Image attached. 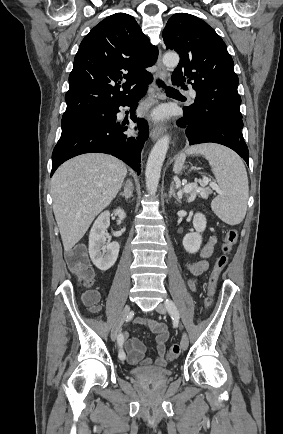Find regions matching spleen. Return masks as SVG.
<instances>
[{
	"label": "spleen",
	"mask_w": 283,
	"mask_h": 434,
	"mask_svg": "<svg viewBox=\"0 0 283 434\" xmlns=\"http://www.w3.org/2000/svg\"><path fill=\"white\" fill-rule=\"evenodd\" d=\"M186 154L203 155L212 167L221 189L220 194L211 203L214 213L229 225L242 222L246 215L249 196L248 177L242 159L221 145H196L177 157L173 167L175 173L181 171Z\"/></svg>",
	"instance_id": "obj_1"
}]
</instances>
